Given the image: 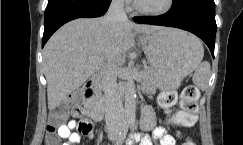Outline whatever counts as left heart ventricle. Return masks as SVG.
<instances>
[{"label": "left heart ventricle", "mask_w": 243, "mask_h": 145, "mask_svg": "<svg viewBox=\"0 0 243 145\" xmlns=\"http://www.w3.org/2000/svg\"><path fill=\"white\" fill-rule=\"evenodd\" d=\"M140 5L146 9L159 10L165 7L167 0H138Z\"/></svg>", "instance_id": "1"}]
</instances>
